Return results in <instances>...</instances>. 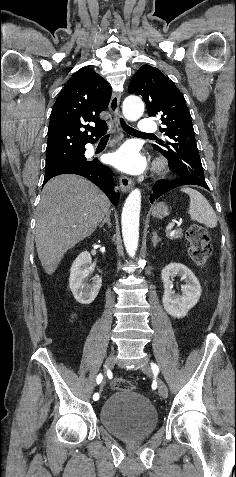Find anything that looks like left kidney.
<instances>
[{
  "instance_id": "left-kidney-1",
  "label": "left kidney",
  "mask_w": 236,
  "mask_h": 477,
  "mask_svg": "<svg viewBox=\"0 0 236 477\" xmlns=\"http://www.w3.org/2000/svg\"><path fill=\"white\" fill-rule=\"evenodd\" d=\"M175 275L185 280L186 284L181 288L182 294H175L172 290L171 278ZM164 286L163 306L166 312L175 318H183L192 309L201 296V286L194 273L185 265L170 263L161 272Z\"/></svg>"
}]
</instances>
